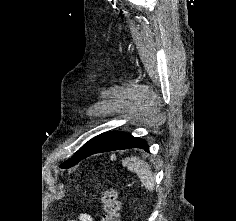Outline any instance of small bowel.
<instances>
[{
	"label": "small bowel",
	"mask_w": 236,
	"mask_h": 221,
	"mask_svg": "<svg viewBox=\"0 0 236 221\" xmlns=\"http://www.w3.org/2000/svg\"><path fill=\"white\" fill-rule=\"evenodd\" d=\"M71 221H75V220H71ZM79 221H94V220L89 214L81 213L79 215Z\"/></svg>",
	"instance_id": "c3829d8e"
}]
</instances>
